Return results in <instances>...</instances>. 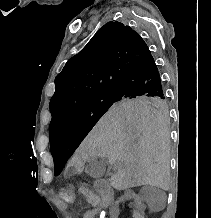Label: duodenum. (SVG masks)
Here are the masks:
<instances>
[{"label":"duodenum","instance_id":"duodenum-1","mask_svg":"<svg viewBox=\"0 0 211 218\" xmlns=\"http://www.w3.org/2000/svg\"><path fill=\"white\" fill-rule=\"evenodd\" d=\"M94 187L99 192L104 207L108 206L113 200V190L109 182L104 179H98L94 182Z\"/></svg>","mask_w":211,"mask_h":218}]
</instances>
